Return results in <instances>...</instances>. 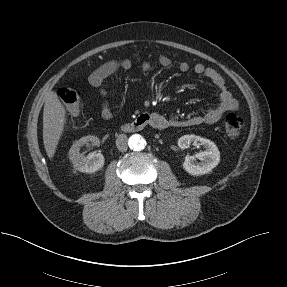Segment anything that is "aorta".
Here are the masks:
<instances>
[{
  "label": "aorta",
  "mask_w": 287,
  "mask_h": 287,
  "mask_svg": "<svg viewBox=\"0 0 287 287\" xmlns=\"http://www.w3.org/2000/svg\"><path fill=\"white\" fill-rule=\"evenodd\" d=\"M129 148L134 151H140L145 148L146 141L139 134L132 135L128 140Z\"/></svg>",
  "instance_id": "1"
}]
</instances>
